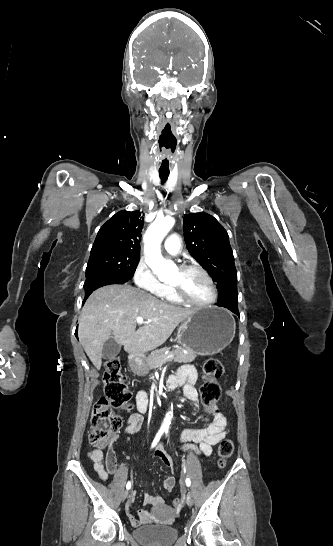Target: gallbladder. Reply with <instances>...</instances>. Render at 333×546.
I'll list each match as a JSON object with an SVG mask.
<instances>
[{
  "instance_id": "obj_1",
  "label": "gallbladder",
  "mask_w": 333,
  "mask_h": 546,
  "mask_svg": "<svg viewBox=\"0 0 333 546\" xmlns=\"http://www.w3.org/2000/svg\"><path fill=\"white\" fill-rule=\"evenodd\" d=\"M121 350V345L116 343L114 340H108L102 349V358L103 359H113L115 358Z\"/></svg>"
}]
</instances>
